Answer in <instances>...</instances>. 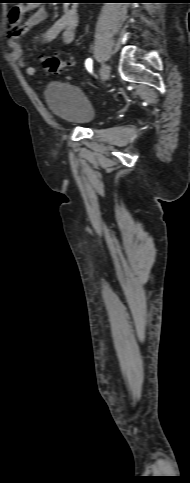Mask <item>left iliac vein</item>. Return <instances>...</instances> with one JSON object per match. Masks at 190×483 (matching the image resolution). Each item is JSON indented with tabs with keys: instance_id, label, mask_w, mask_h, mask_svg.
<instances>
[{
	"instance_id": "obj_1",
	"label": "left iliac vein",
	"mask_w": 190,
	"mask_h": 483,
	"mask_svg": "<svg viewBox=\"0 0 190 483\" xmlns=\"http://www.w3.org/2000/svg\"><path fill=\"white\" fill-rule=\"evenodd\" d=\"M110 66L108 64H104L102 69H101V80L103 82L107 81L110 77Z\"/></svg>"
}]
</instances>
